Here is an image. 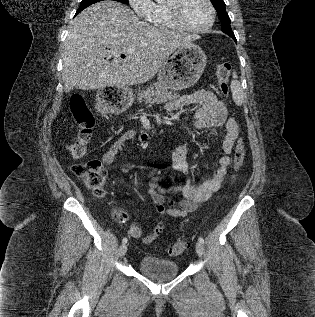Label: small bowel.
Segmentation results:
<instances>
[{"label":"small bowel","instance_id":"c3829d8e","mask_svg":"<svg viewBox=\"0 0 315 317\" xmlns=\"http://www.w3.org/2000/svg\"><path fill=\"white\" fill-rule=\"evenodd\" d=\"M189 105L198 106L192 115V128L198 130L208 129L214 135H222V150L224 155L219 159V166L215 173L208 179L196 183L189 178L191 166L187 160L186 144H178L173 152L172 168L185 175V180L179 185L168 188L162 187L158 178H152L148 184V194L152 198L155 209L161 217H186L196 211L202 203L211 199L214 193L221 188L225 180L228 167L231 163L230 154L238 138L239 128L236 121L234 118L228 116L225 104L213 92L197 90L191 94L169 101L167 109L175 111ZM223 126L226 130L225 133L221 131ZM135 136L136 131L133 129L123 132L102 155L101 160L103 164H113ZM122 170L126 171L127 168H123ZM167 194H181L183 198L179 201H174L167 198ZM165 226L164 221L159 222L150 234L142 238L143 243L150 244L163 232ZM128 232L132 238L138 239L142 237V229L136 223L129 226Z\"/></svg>","mask_w":315,"mask_h":317}]
</instances>
